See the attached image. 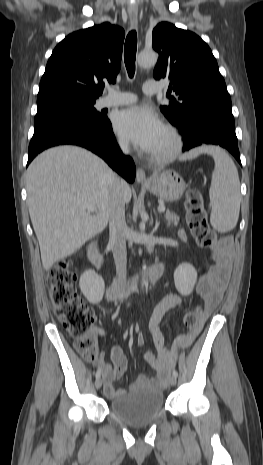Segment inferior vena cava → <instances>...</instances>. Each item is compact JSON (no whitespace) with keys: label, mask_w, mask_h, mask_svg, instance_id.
<instances>
[{"label":"inferior vena cava","mask_w":263,"mask_h":465,"mask_svg":"<svg viewBox=\"0 0 263 465\" xmlns=\"http://www.w3.org/2000/svg\"><path fill=\"white\" fill-rule=\"evenodd\" d=\"M120 147L125 154L128 153L129 149L127 142H120ZM126 186L127 183L120 177H117L114 180L109 215V245L112 248L116 265V273L122 287H124L126 283L127 275V225L125 221L124 201V189Z\"/></svg>","instance_id":"inferior-vena-cava-1"}]
</instances>
